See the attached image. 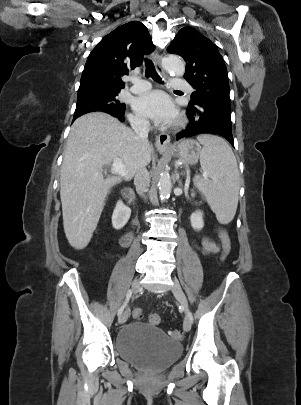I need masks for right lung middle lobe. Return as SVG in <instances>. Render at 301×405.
<instances>
[{
	"label": "right lung middle lobe",
	"mask_w": 301,
	"mask_h": 405,
	"mask_svg": "<svg viewBox=\"0 0 301 405\" xmlns=\"http://www.w3.org/2000/svg\"><path fill=\"white\" fill-rule=\"evenodd\" d=\"M119 92L120 90L110 89H90L78 92L74 118L94 111L124 114L125 104L116 97Z\"/></svg>",
	"instance_id": "obj_1"
}]
</instances>
